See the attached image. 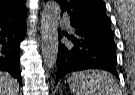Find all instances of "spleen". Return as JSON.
Returning a JSON list of instances; mask_svg holds the SVG:
<instances>
[{
	"mask_svg": "<svg viewBox=\"0 0 135 95\" xmlns=\"http://www.w3.org/2000/svg\"><path fill=\"white\" fill-rule=\"evenodd\" d=\"M74 95H121L115 79L105 71L74 72L68 79Z\"/></svg>",
	"mask_w": 135,
	"mask_h": 95,
	"instance_id": "obj_1",
	"label": "spleen"
}]
</instances>
